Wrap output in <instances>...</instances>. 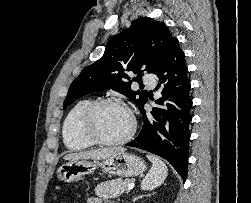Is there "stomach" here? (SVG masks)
<instances>
[{"label": "stomach", "instance_id": "0dacf381", "mask_svg": "<svg viewBox=\"0 0 251 203\" xmlns=\"http://www.w3.org/2000/svg\"><path fill=\"white\" fill-rule=\"evenodd\" d=\"M97 169H102L110 175L130 177L143 173L146 165L140 157L120 150L102 161L89 159L70 161L58 168L57 175L60 181L70 183L84 180Z\"/></svg>", "mask_w": 251, "mask_h": 203}]
</instances>
